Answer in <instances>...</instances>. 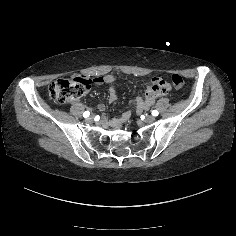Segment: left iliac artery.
Masks as SVG:
<instances>
[{"instance_id":"44dca946","label":"left iliac artery","mask_w":236,"mask_h":236,"mask_svg":"<svg viewBox=\"0 0 236 236\" xmlns=\"http://www.w3.org/2000/svg\"><path fill=\"white\" fill-rule=\"evenodd\" d=\"M158 114H159V112H158L157 110H153V111H152V115H153V116H158Z\"/></svg>"}]
</instances>
